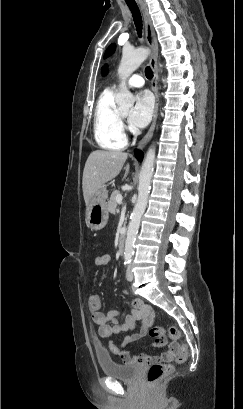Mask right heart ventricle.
Masks as SVG:
<instances>
[{"instance_id": "right-heart-ventricle-1", "label": "right heart ventricle", "mask_w": 243, "mask_h": 409, "mask_svg": "<svg viewBox=\"0 0 243 409\" xmlns=\"http://www.w3.org/2000/svg\"><path fill=\"white\" fill-rule=\"evenodd\" d=\"M114 95V89L107 88L97 101L94 114V136L102 148L119 150L126 146L127 140L114 104Z\"/></svg>"}]
</instances>
